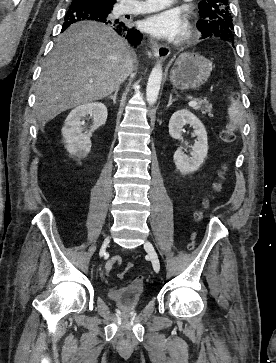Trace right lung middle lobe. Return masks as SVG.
Listing matches in <instances>:
<instances>
[{"label":"right lung middle lobe","mask_w":276,"mask_h":363,"mask_svg":"<svg viewBox=\"0 0 276 363\" xmlns=\"http://www.w3.org/2000/svg\"><path fill=\"white\" fill-rule=\"evenodd\" d=\"M79 5L94 6L104 17H108L113 9L112 6H105L92 0H72L70 7H78Z\"/></svg>","instance_id":"obj_1"}]
</instances>
